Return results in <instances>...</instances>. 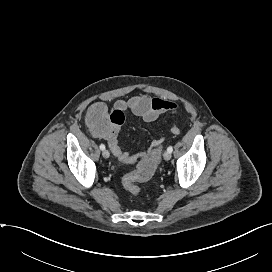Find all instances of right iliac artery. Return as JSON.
<instances>
[{
  "instance_id": "1",
  "label": "right iliac artery",
  "mask_w": 272,
  "mask_h": 272,
  "mask_svg": "<svg viewBox=\"0 0 272 272\" xmlns=\"http://www.w3.org/2000/svg\"><path fill=\"white\" fill-rule=\"evenodd\" d=\"M100 149H101V150H105V145H104V144H101V145H100Z\"/></svg>"
}]
</instances>
